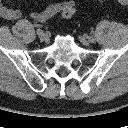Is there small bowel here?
<instances>
[{"mask_svg": "<svg viewBox=\"0 0 128 128\" xmlns=\"http://www.w3.org/2000/svg\"><path fill=\"white\" fill-rule=\"evenodd\" d=\"M67 5L75 6V0L51 3L42 11L31 12L30 18L35 23L45 22L51 19L52 17H54L56 14L61 13L62 9ZM0 16L5 19L15 20L21 17V11L18 9H12L6 7L2 3V0H0Z\"/></svg>", "mask_w": 128, "mask_h": 128, "instance_id": "1", "label": "small bowel"}]
</instances>
